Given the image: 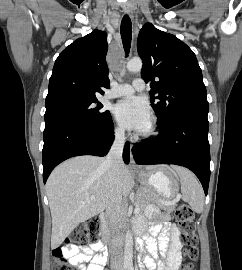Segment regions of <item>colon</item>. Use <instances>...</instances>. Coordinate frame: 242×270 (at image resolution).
<instances>
[{
    "label": "colon",
    "instance_id": "5ec220e1",
    "mask_svg": "<svg viewBox=\"0 0 242 270\" xmlns=\"http://www.w3.org/2000/svg\"><path fill=\"white\" fill-rule=\"evenodd\" d=\"M175 216L181 224L184 264L182 270H194L193 262L198 257V239L195 232L194 212L188 205H180L175 210ZM101 224L97 219L81 223L73 230L66 241V245H80L95 240L99 236ZM64 246L54 250L53 270H74V265L64 254Z\"/></svg>",
    "mask_w": 242,
    "mask_h": 270
}]
</instances>
